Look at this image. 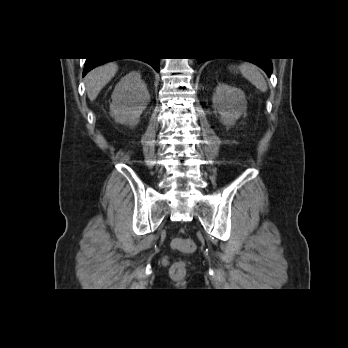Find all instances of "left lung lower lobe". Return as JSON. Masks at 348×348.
<instances>
[{
    "instance_id": "0a47b994",
    "label": "left lung lower lobe",
    "mask_w": 348,
    "mask_h": 348,
    "mask_svg": "<svg viewBox=\"0 0 348 348\" xmlns=\"http://www.w3.org/2000/svg\"><path fill=\"white\" fill-rule=\"evenodd\" d=\"M207 59H203V58H198L197 61L198 63L204 62ZM242 60H246L249 62H252L256 65H258L259 67H261L266 73L267 75L270 77L271 72H272V63L270 59H242Z\"/></svg>"
}]
</instances>
